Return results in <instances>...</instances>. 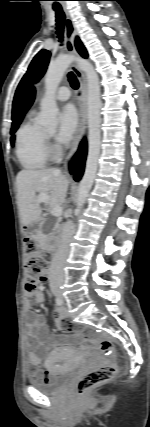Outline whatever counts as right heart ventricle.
Here are the masks:
<instances>
[{
  "instance_id": "obj_1",
  "label": "right heart ventricle",
  "mask_w": 150,
  "mask_h": 427,
  "mask_svg": "<svg viewBox=\"0 0 150 427\" xmlns=\"http://www.w3.org/2000/svg\"><path fill=\"white\" fill-rule=\"evenodd\" d=\"M15 154L26 170L42 169L49 161L45 131L35 124L32 115L17 130Z\"/></svg>"
}]
</instances>
